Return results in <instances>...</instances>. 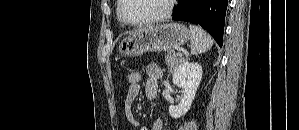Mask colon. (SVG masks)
Instances as JSON below:
<instances>
[{"instance_id": "1", "label": "colon", "mask_w": 299, "mask_h": 130, "mask_svg": "<svg viewBox=\"0 0 299 130\" xmlns=\"http://www.w3.org/2000/svg\"><path fill=\"white\" fill-rule=\"evenodd\" d=\"M127 82L129 88L140 85L141 73L139 71H130L127 75Z\"/></svg>"}]
</instances>
